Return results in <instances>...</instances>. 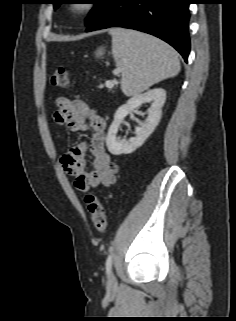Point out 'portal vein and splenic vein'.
Here are the masks:
<instances>
[{
    "label": "portal vein and splenic vein",
    "mask_w": 236,
    "mask_h": 321,
    "mask_svg": "<svg viewBox=\"0 0 236 321\" xmlns=\"http://www.w3.org/2000/svg\"><path fill=\"white\" fill-rule=\"evenodd\" d=\"M106 86H107V87H112V86H113V83L110 82V81H107V82H106Z\"/></svg>",
    "instance_id": "1"
}]
</instances>
